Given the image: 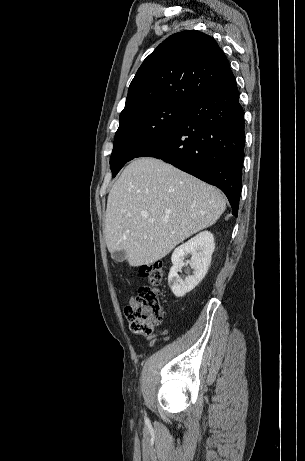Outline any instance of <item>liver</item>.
Segmentation results:
<instances>
[{
	"label": "liver",
	"instance_id": "liver-1",
	"mask_svg": "<svg viewBox=\"0 0 305 461\" xmlns=\"http://www.w3.org/2000/svg\"><path fill=\"white\" fill-rule=\"evenodd\" d=\"M225 209L215 187L162 160L138 158L109 192L106 245L111 254L124 251L130 266L148 265L215 224Z\"/></svg>",
	"mask_w": 305,
	"mask_h": 461
}]
</instances>
